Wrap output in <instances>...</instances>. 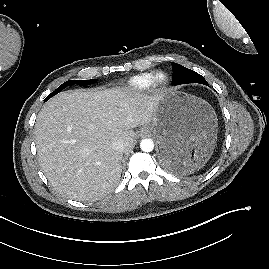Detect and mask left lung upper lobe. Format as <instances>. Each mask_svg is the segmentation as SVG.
<instances>
[{
    "mask_svg": "<svg viewBox=\"0 0 269 269\" xmlns=\"http://www.w3.org/2000/svg\"><path fill=\"white\" fill-rule=\"evenodd\" d=\"M172 69L174 85L200 83L208 86V83L205 78L193 70L185 68L177 63H172Z\"/></svg>",
    "mask_w": 269,
    "mask_h": 269,
    "instance_id": "left-lung-upper-lobe-1",
    "label": "left lung upper lobe"
}]
</instances>
